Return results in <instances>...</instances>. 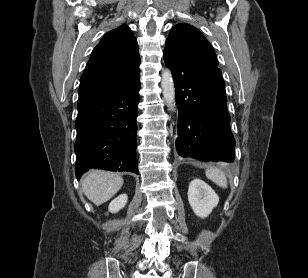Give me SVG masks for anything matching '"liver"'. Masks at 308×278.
Wrapping results in <instances>:
<instances>
[{
    "mask_svg": "<svg viewBox=\"0 0 308 278\" xmlns=\"http://www.w3.org/2000/svg\"><path fill=\"white\" fill-rule=\"evenodd\" d=\"M123 183L120 175L102 170L88 173L81 181L84 194L97 206L111 199Z\"/></svg>",
    "mask_w": 308,
    "mask_h": 278,
    "instance_id": "1",
    "label": "liver"
}]
</instances>
